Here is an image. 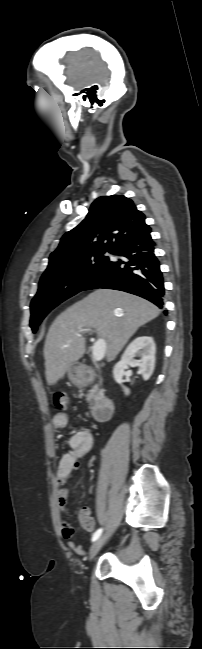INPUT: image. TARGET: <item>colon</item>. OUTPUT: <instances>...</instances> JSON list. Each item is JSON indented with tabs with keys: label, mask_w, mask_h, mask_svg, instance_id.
Returning a JSON list of instances; mask_svg holds the SVG:
<instances>
[{
	"label": "colon",
	"mask_w": 202,
	"mask_h": 649,
	"mask_svg": "<svg viewBox=\"0 0 202 649\" xmlns=\"http://www.w3.org/2000/svg\"><path fill=\"white\" fill-rule=\"evenodd\" d=\"M53 401L56 407L64 409L68 404V395L65 391L55 392L53 395Z\"/></svg>",
	"instance_id": "obj_1"
}]
</instances>
